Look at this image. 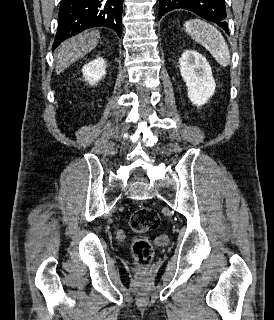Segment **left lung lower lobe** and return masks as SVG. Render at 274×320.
Here are the masks:
<instances>
[{
  "mask_svg": "<svg viewBox=\"0 0 274 320\" xmlns=\"http://www.w3.org/2000/svg\"><path fill=\"white\" fill-rule=\"evenodd\" d=\"M190 10L200 17L217 23L228 34L225 0H160L159 19L167 12L174 9Z\"/></svg>",
  "mask_w": 274,
  "mask_h": 320,
  "instance_id": "left-lung-lower-lobe-1",
  "label": "left lung lower lobe"
}]
</instances>
